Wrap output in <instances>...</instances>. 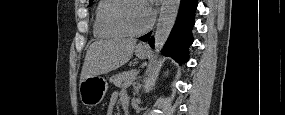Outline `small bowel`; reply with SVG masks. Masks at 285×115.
I'll use <instances>...</instances> for the list:
<instances>
[{
	"label": "small bowel",
	"instance_id": "1",
	"mask_svg": "<svg viewBox=\"0 0 285 115\" xmlns=\"http://www.w3.org/2000/svg\"><path fill=\"white\" fill-rule=\"evenodd\" d=\"M117 99H118L117 95H115V96H113L111 98V101H110L109 106H108V114L109 115L113 114V108H114V105H115ZM120 100H121V103H122L123 107L124 108H128V99H127V97L125 95H121L120 96Z\"/></svg>",
	"mask_w": 285,
	"mask_h": 115
}]
</instances>
